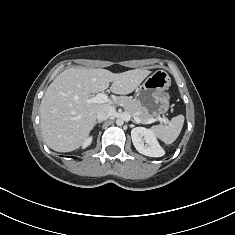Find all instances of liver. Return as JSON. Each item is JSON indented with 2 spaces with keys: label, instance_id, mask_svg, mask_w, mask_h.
<instances>
[{
  "label": "liver",
  "instance_id": "6515ba94",
  "mask_svg": "<svg viewBox=\"0 0 235 235\" xmlns=\"http://www.w3.org/2000/svg\"><path fill=\"white\" fill-rule=\"evenodd\" d=\"M151 73L146 69L112 73L106 69L69 68L47 88L40 104V125L46 144L57 152L79 148L95 126L97 111L109 104L90 103L91 94L109 88L129 94Z\"/></svg>",
  "mask_w": 235,
  "mask_h": 235
}]
</instances>
